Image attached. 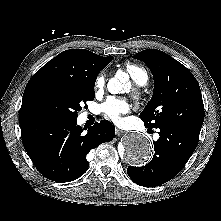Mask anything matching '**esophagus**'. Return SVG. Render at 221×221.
<instances>
[{"label":"esophagus","instance_id":"34e87169","mask_svg":"<svg viewBox=\"0 0 221 221\" xmlns=\"http://www.w3.org/2000/svg\"><path fill=\"white\" fill-rule=\"evenodd\" d=\"M115 133H116L117 136H121V135H123L125 133V131L120 130V129H116Z\"/></svg>","mask_w":221,"mask_h":221}]
</instances>
